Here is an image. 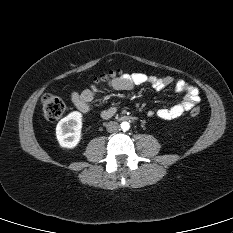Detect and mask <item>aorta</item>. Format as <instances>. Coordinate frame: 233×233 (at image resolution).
Returning a JSON list of instances; mask_svg holds the SVG:
<instances>
[{
	"label": "aorta",
	"instance_id": "762f6f07",
	"mask_svg": "<svg viewBox=\"0 0 233 233\" xmlns=\"http://www.w3.org/2000/svg\"><path fill=\"white\" fill-rule=\"evenodd\" d=\"M120 126H121V129H122L123 131H127V130H129V128H130V124H129L128 122H126V121L122 122V123L120 124Z\"/></svg>",
	"mask_w": 233,
	"mask_h": 233
}]
</instances>
